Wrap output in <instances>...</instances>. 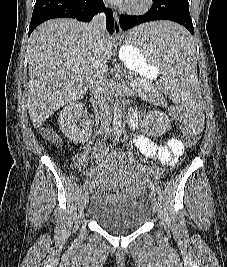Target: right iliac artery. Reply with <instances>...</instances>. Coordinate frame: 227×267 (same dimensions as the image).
<instances>
[{
  "mask_svg": "<svg viewBox=\"0 0 227 267\" xmlns=\"http://www.w3.org/2000/svg\"><path fill=\"white\" fill-rule=\"evenodd\" d=\"M118 139H119V136H118V134H116L115 135V141H118ZM88 183H89V181L86 180L85 183H84V190H86V188L88 187Z\"/></svg>",
  "mask_w": 227,
  "mask_h": 267,
  "instance_id": "1",
  "label": "right iliac artery"
}]
</instances>
